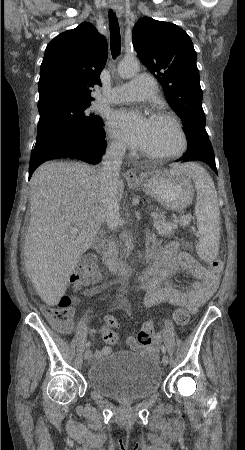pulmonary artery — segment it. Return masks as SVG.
Here are the masks:
<instances>
[{
    "mask_svg": "<svg viewBox=\"0 0 245 450\" xmlns=\"http://www.w3.org/2000/svg\"><path fill=\"white\" fill-rule=\"evenodd\" d=\"M157 94L158 90L154 77L140 75L115 86L110 95L102 97V100L108 103H122L144 100Z\"/></svg>",
    "mask_w": 245,
    "mask_h": 450,
    "instance_id": "e3ab8cb5",
    "label": "pulmonary artery"
}]
</instances>
